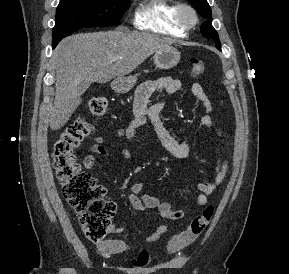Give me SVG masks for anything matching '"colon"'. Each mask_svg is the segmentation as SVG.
<instances>
[{
    "label": "colon",
    "mask_w": 289,
    "mask_h": 274,
    "mask_svg": "<svg viewBox=\"0 0 289 274\" xmlns=\"http://www.w3.org/2000/svg\"><path fill=\"white\" fill-rule=\"evenodd\" d=\"M205 70L204 62L194 58L190 63L193 76ZM89 112L102 116L107 108L106 99L99 95L91 96L86 102ZM92 124L82 116L75 118L60 134L53 148V166L61 184L64 198L78 215L86 237L94 242L102 241L111 230V219L116 210L115 204L105 198V188L78 163L75 149L91 133ZM214 215V207L208 206L194 217L189 226L175 235L168 243V251L176 253L193 243L207 228ZM149 254L142 251L133 260L136 266H144Z\"/></svg>",
    "instance_id": "5ec220e1"
}]
</instances>
